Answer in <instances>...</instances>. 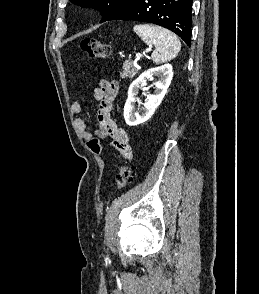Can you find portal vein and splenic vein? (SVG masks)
Here are the masks:
<instances>
[{
    "instance_id": "portal-vein-and-splenic-vein-1",
    "label": "portal vein and splenic vein",
    "mask_w": 259,
    "mask_h": 294,
    "mask_svg": "<svg viewBox=\"0 0 259 294\" xmlns=\"http://www.w3.org/2000/svg\"><path fill=\"white\" fill-rule=\"evenodd\" d=\"M136 58H137V59L142 58V54H141V53H136Z\"/></svg>"
}]
</instances>
